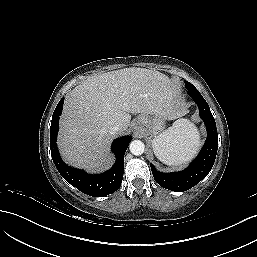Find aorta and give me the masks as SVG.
<instances>
[{"label":"aorta","mask_w":257,"mask_h":257,"mask_svg":"<svg viewBox=\"0 0 257 257\" xmlns=\"http://www.w3.org/2000/svg\"><path fill=\"white\" fill-rule=\"evenodd\" d=\"M129 150L133 155L139 156L144 153L145 145L140 140H134L130 143Z\"/></svg>","instance_id":"762f6f07"}]
</instances>
